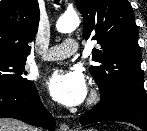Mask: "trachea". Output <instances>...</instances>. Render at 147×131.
I'll return each mask as SVG.
<instances>
[{
    "label": "trachea",
    "instance_id": "trachea-1",
    "mask_svg": "<svg viewBox=\"0 0 147 131\" xmlns=\"http://www.w3.org/2000/svg\"><path fill=\"white\" fill-rule=\"evenodd\" d=\"M59 1H60V0H55V3H56V4H59Z\"/></svg>",
    "mask_w": 147,
    "mask_h": 131
}]
</instances>
